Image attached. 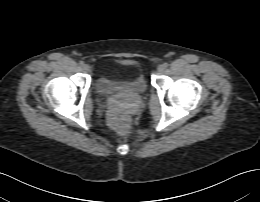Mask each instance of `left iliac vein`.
<instances>
[{
  "mask_svg": "<svg viewBox=\"0 0 260 202\" xmlns=\"http://www.w3.org/2000/svg\"><path fill=\"white\" fill-rule=\"evenodd\" d=\"M164 69H165V68H164L163 65H159L158 68H157V71H158L159 73H163Z\"/></svg>",
  "mask_w": 260,
  "mask_h": 202,
  "instance_id": "left-iliac-vein-1",
  "label": "left iliac vein"
}]
</instances>
